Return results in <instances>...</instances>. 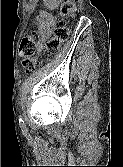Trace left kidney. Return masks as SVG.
<instances>
[{
  "mask_svg": "<svg viewBox=\"0 0 123 167\" xmlns=\"http://www.w3.org/2000/svg\"><path fill=\"white\" fill-rule=\"evenodd\" d=\"M50 1H51V0H44V2L46 3V5H48V6L50 5V4H49ZM55 1L57 2V1H59V0H55ZM56 6H57V4L55 3V6H54V7H56Z\"/></svg>",
  "mask_w": 123,
  "mask_h": 167,
  "instance_id": "obj_1",
  "label": "left kidney"
}]
</instances>
